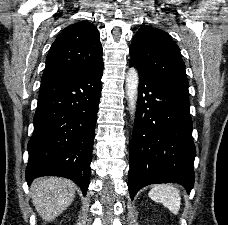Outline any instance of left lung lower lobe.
I'll use <instances>...</instances> for the list:
<instances>
[{
    "instance_id": "1",
    "label": "left lung lower lobe",
    "mask_w": 228,
    "mask_h": 225,
    "mask_svg": "<svg viewBox=\"0 0 228 225\" xmlns=\"http://www.w3.org/2000/svg\"><path fill=\"white\" fill-rule=\"evenodd\" d=\"M191 134L188 87L156 81L139 73L129 151L131 199L141 188L158 183H180L190 192L196 154Z\"/></svg>"
}]
</instances>
